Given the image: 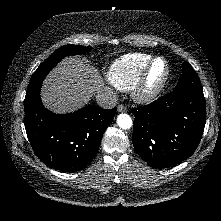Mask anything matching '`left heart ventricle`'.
Instances as JSON below:
<instances>
[{"label": "left heart ventricle", "mask_w": 221, "mask_h": 221, "mask_svg": "<svg viewBox=\"0 0 221 221\" xmlns=\"http://www.w3.org/2000/svg\"><path fill=\"white\" fill-rule=\"evenodd\" d=\"M165 71V65L164 62L161 60H158L152 67V70L149 75L148 83L150 86L155 85L163 76Z\"/></svg>", "instance_id": "left-heart-ventricle-1"}]
</instances>
